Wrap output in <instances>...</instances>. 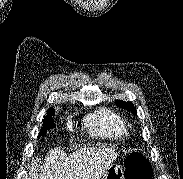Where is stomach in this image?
Here are the masks:
<instances>
[{
    "instance_id": "stomach-1",
    "label": "stomach",
    "mask_w": 183,
    "mask_h": 179,
    "mask_svg": "<svg viewBox=\"0 0 183 179\" xmlns=\"http://www.w3.org/2000/svg\"><path fill=\"white\" fill-rule=\"evenodd\" d=\"M102 179H125L122 166L118 164H111L104 173Z\"/></svg>"
}]
</instances>
